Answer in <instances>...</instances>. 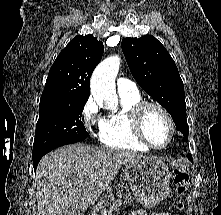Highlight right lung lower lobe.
Instances as JSON below:
<instances>
[{
	"mask_svg": "<svg viewBox=\"0 0 221 215\" xmlns=\"http://www.w3.org/2000/svg\"><path fill=\"white\" fill-rule=\"evenodd\" d=\"M83 141V140H82ZM81 142V141H80ZM51 151V150H50ZM48 152H45V153H42V154H39L37 156H33V167H34V170L37 168V165L40 161V159Z\"/></svg>",
	"mask_w": 221,
	"mask_h": 215,
	"instance_id": "1",
	"label": "right lung lower lobe"
}]
</instances>
